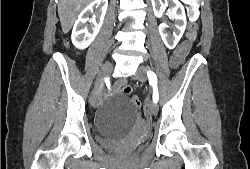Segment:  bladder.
<instances>
[{"mask_svg": "<svg viewBox=\"0 0 250 169\" xmlns=\"http://www.w3.org/2000/svg\"><path fill=\"white\" fill-rule=\"evenodd\" d=\"M96 142L99 146L109 150H129L137 148L139 145H120L117 139H109V134L95 133Z\"/></svg>", "mask_w": 250, "mask_h": 169, "instance_id": "1", "label": "bladder"}]
</instances>
